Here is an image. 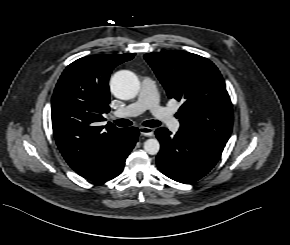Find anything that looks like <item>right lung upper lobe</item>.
<instances>
[{
  "mask_svg": "<svg viewBox=\"0 0 290 245\" xmlns=\"http://www.w3.org/2000/svg\"><path fill=\"white\" fill-rule=\"evenodd\" d=\"M135 54H98L80 58L62 73L52 97V128L57 146L79 175L107 161L124 144L125 128L105 120L109 112L111 71Z\"/></svg>",
  "mask_w": 290,
  "mask_h": 245,
  "instance_id": "1",
  "label": "right lung upper lobe"
}]
</instances>
